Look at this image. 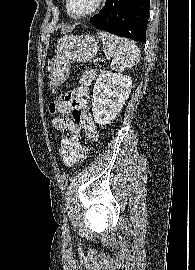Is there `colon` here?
<instances>
[{
	"label": "colon",
	"instance_id": "1",
	"mask_svg": "<svg viewBox=\"0 0 195 270\" xmlns=\"http://www.w3.org/2000/svg\"><path fill=\"white\" fill-rule=\"evenodd\" d=\"M73 101L72 92H68L56 98L49 106V110L52 114L59 113L66 110ZM88 156V149L82 147L79 153L78 160L79 162H84Z\"/></svg>",
	"mask_w": 195,
	"mask_h": 270
}]
</instances>
